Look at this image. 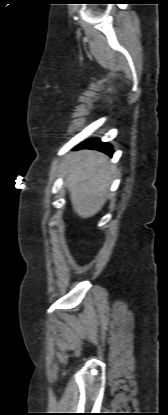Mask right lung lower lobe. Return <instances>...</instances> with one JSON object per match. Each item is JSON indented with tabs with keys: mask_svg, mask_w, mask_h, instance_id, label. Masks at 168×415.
<instances>
[{
	"mask_svg": "<svg viewBox=\"0 0 168 415\" xmlns=\"http://www.w3.org/2000/svg\"><path fill=\"white\" fill-rule=\"evenodd\" d=\"M78 149L88 148L102 151L110 156L113 154L112 146L108 143H102L99 139L87 140L77 147Z\"/></svg>",
	"mask_w": 168,
	"mask_h": 415,
	"instance_id": "obj_1",
	"label": "right lung lower lobe"
}]
</instances>
